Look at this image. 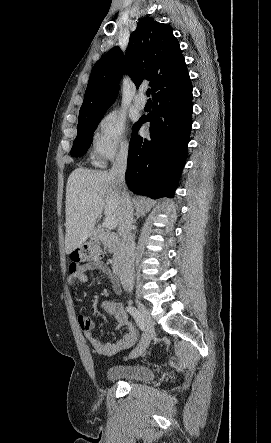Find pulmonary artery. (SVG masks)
<instances>
[{
	"label": "pulmonary artery",
	"instance_id": "obj_1",
	"mask_svg": "<svg viewBox=\"0 0 271 443\" xmlns=\"http://www.w3.org/2000/svg\"><path fill=\"white\" fill-rule=\"evenodd\" d=\"M134 105L139 110H143L147 105V99L143 90H140L134 97Z\"/></svg>",
	"mask_w": 271,
	"mask_h": 443
}]
</instances>
